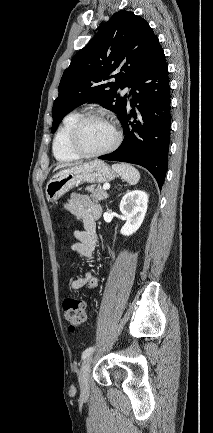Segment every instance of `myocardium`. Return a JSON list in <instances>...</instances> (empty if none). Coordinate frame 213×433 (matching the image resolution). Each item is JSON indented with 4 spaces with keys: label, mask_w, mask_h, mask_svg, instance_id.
<instances>
[{
    "label": "myocardium",
    "mask_w": 213,
    "mask_h": 433,
    "mask_svg": "<svg viewBox=\"0 0 213 433\" xmlns=\"http://www.w3.org/2000/svg\"><path fill=\"white\" fill-rule=\"evenodd\" d=\"M92 119H98V120H102V121L106 122L107 124H109L111 126V128L113 129L114 134H115V139H114L113 143L108 148H106L102 151H98V152L85 151L79 143V135H80V131H81L83 125L87 121L92 120ZM121 141H122V133L119 130L116 123L110 117L105 115L104 113L97 112V111H91V112H87V113L81 115L77 119V121L74 123V125L72 126L70 134H69L70 148L79 157H83V158H94V157H100V156L107 155V154L113 152L114 150H116L119 147Z\"/></svg>",
    "instance_id": "f54148a6"
}]
</instances>
